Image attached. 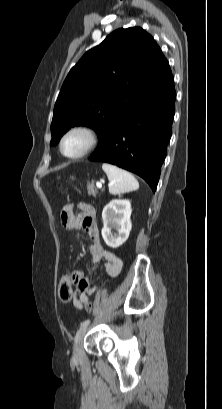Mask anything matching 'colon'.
<instances>
[{"label": "colon", "instance_id": "1", "mask_svg": "<svg viewBox=\"0 0 222 409\" xmlns=\"http://www.w3.org/2000/svg\"><path fill=\"white\" fill-rule=\"evenodd\" d=\"M58 187L61 188L62 185L59 184ZM72 269L73 268L68 269L65 272V274H64V276H63V278H62V280L60 282V285H59V290H58L59 299L64 303H67V302H69L71 300L72 293H73L74 285L71 283V278L69 277L70 271ZM84 307H85V310H86L87 314L92 313L93 307H92L91 303H85Z\"/></svg>", "mask_w": 222, "mask_h": 409}]
</instances>
